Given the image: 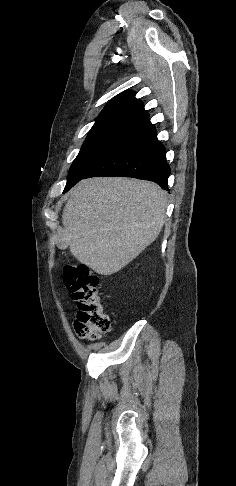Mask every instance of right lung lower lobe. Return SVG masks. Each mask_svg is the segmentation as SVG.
<instances>
[{
  "label": "right lung lower lobe",
  "instance_id": "obj_1",
  "mask_svg": "<svg viewBox=\"0 0 236 486\" xmlns=\"http://www.w3.org/2000/svg\"><path fill=\"white\" fill-rule=\"evenodd\" d=\"M169 175L166 150L158 141L155 127L148 118L130 141L93 168L84 178L132 177L153 181L168 190Z\"/></svg>",
  "mask_w": 236,
  "mask_h": 486
}]
</instances>
